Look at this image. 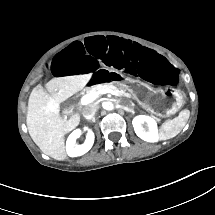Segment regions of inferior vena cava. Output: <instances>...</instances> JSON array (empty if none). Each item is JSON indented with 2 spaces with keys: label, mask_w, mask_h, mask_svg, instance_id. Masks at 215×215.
<instances>
[{
  "label": "inferior vena cava",
  "mask_w": 215,
  "mask_h": 215,
  "mask_svg": "<svg viewBox=\"0 0 215 215\" xmlns=\"http://www.w3.org/2000/svg\"><path fill=\"white\" fill-rule=\"evenodd\" d=\"M96 111H97L96 105L93 104L86 105L82 109V115L85 119L91 120L94 118Z\"/></svg>",
  "instance_id": "inferior-vena-cava-1"
}]
</instances>
